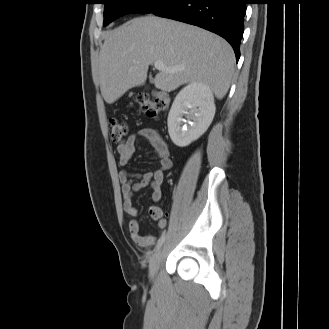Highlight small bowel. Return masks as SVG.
<instances>
[{"mask_svg":"<svg viewBox=\"0 0 329 329\" xmlns=\"http://www.w3.org/2000/svg\"><path fill=\"white\" fill-rule=\"evenodd\" d=\"M139 139L147 140L154 153V158L159 161L160 167L154 171H147L142 174H135L123 170L119 174L121 192L123 198V210L131 218L128 224L129 234L133 243L141 250L148 251L156 242L153 235H144L140 232L139 224L136 220L137 209L132 204V196L146 186L152 189L149 207L150 217L157 222L159 231L166 227V219L163 218V211L158 203L162 197V185L164 181V171L172 166L168 144L158 130L153 128H141L135 134L130 135L117 145L118 163L126 167L136 150V142Z\"/></svg>","mask_w":329,"mask_h":329,"instance_id":"c3829d8e","label":"small bowel"}]
</instances>
